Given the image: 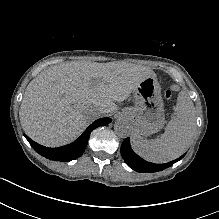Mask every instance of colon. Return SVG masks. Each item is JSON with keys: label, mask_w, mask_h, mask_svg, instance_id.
<instances>
[{"label": "colon", "mask_w": 219, "mask_h": 219, "mask_svg": "<svg viewBox=\"0 0 219 219\" xmlns=\"http://www.w3.org/2000/svg\"><path fill=\"white\" fill-rule=\"evenodd\" d=\"M179 90L178 86L177 85H173L171 86L169 89H167L165 92H164V97L166 99H171L173 97V95Z\"/></svg>", "instance_id": "obj_1"}]
</instances>
